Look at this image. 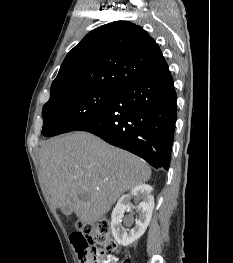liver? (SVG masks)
<instances>
[{"instance_id":"1","label":"liver","mask_w":233,"mask_h":263,"mask_svg":"<svg viewBox=\"0 0 233 263\" xmlns=\"http://www.w3.org/2000/svg\"><path fill=\"white\" fill-rule=\"evenodd\" d=\"M39 163L53 206H68L87 224L99 221L124 192L151 176L142 159L87 132L47 140Z\"/></svg>"}]
</instances>
